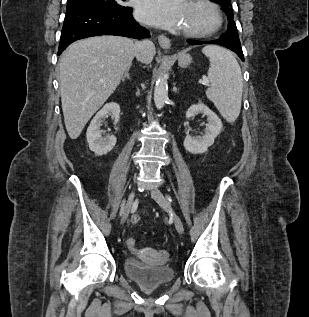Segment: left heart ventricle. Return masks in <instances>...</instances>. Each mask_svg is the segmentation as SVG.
<instances>
[{"label":"left heart ventricle","instance_id":"left-heart-ventricle-1","mask_svg":"<svg viewBox=\"0 0 309 317\" xmlns=\"http://www.w3.org/2000/svg\"><path fill=\"white\" fill-rule=\"evenodd\" d=\"M211 20V15L206 9L189 4L183 28H205L210 25Z\"/></svg>","mask_w":309,"mask_h":317}]
</instances>
